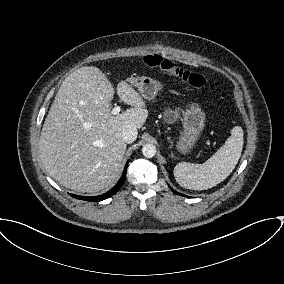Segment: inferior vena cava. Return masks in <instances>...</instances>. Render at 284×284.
<instances>
[{
    "instance_id": "obj_1",
    "label": "inferior vena cava",
    "mask_w": 284,
    "mask_h": 284,
    "mask_svg": "<svg viewBox=\"0 0 284 284\" xmlns=\"http://www.w3.org/2000/svg\"><path fill=\"white\" fill-rule=\"evenodd\" d=\"M121 134L125 142L132 143L136 140L138 132L135 127L128 125L123 128Z\"/></svg>"
}]
</instances>
